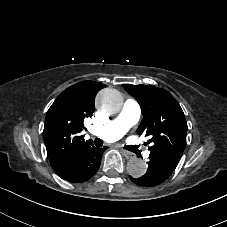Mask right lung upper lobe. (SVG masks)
<instances>
[{
  "label": "right lung upper lobe",
  "mask_w": 227,
  "mask_h": 227,
  "mask_svg": "<svg viewBox=\"0 0 227 227\" xmlns=\"http://www.w3.org/2000/svg\"><path fill=\"white\" fill-rule=\"evenodd\" d=\"M106 85L82 81L64 90L49 108L43 131L47 155L55 173H63L74 159L93 146L80 132L94 111L97 92Z\"/></svg>",
  "instance_id": "1"
}]
</instances>
